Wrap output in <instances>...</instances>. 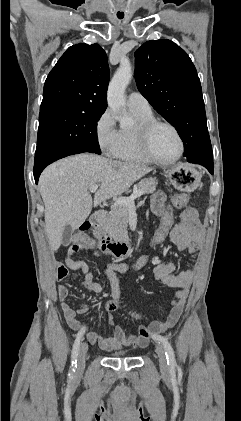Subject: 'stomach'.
Instances as JSON below:
<instances>
[{"label":"stomach","instance_id":"obj_1","mask_svg":"<svg viewBox=\"0 0 241 421\" xmlns=\"http://www.w3.org/2000/svg\"><path fill=\"white\" fill-rule=\"evenodd\" d=\"M168 178L175 188L191 192L199 186L201 174L191 165L181 163L168 170Z\"/></svg>","mask_w":241,"mask_h":421}]
</instances>
